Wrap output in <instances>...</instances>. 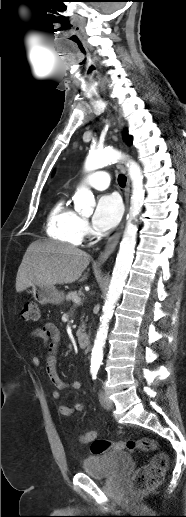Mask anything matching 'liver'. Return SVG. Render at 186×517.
Segmentation results:
<instances>
[{
	"instance_id": "1",
	"label": "liver",
	"mask_w": 186,
	"mask_h": 517,
	"mask_svg": "<svg viewBox=\"0 0 186 517\" xmlns=\"http://www.w3.org/2000/svg\"><path fill=\"white\" fill-rule=\"evenodd\" d=\"M90 255L72 245L55 241H35L27 248L16 277L18 293L31 286L69 284L87 279L83 271Z\"/></svg>"
}]
</instances>
